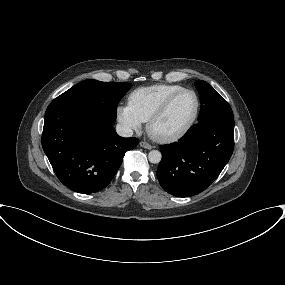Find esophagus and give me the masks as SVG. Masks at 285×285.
<instances>
[{"label":"esophagus","instance_id":"obj_1","mask_svg":"<svg viewBox=\"0 0 285 285\" xmlns=\"http://www.w3.org/2000/svg\"><path fill=\"white\" fill-rule=\"evenodd\" d=\"M139 144H140L141 147H143L145 149H149V150L152 149V146L149 143L145 142V141H141Z\"/></svg>","mask_w":285,"mask_h":285}]
</instances>
